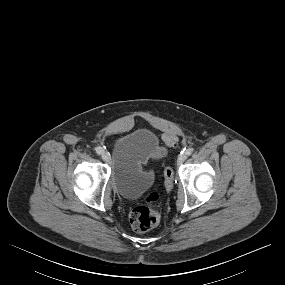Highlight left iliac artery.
I'll return each instance as SVG.
<instances>
[{
    "label": "left iliac artery",
    "instance_id": "1",
    "mask_svg": "<svg viewBox=\"0 0 285 285\" xmlns=\"http://www.w3.org/2000/svg\"><path fill=\"white\" fill-rule=\"evenodd\" d=\"M184 152V154H186V155H191L192 154V152H193V149L192 148H185L181 153H183Z\"/></svg>",
    "mask_w": 285,
    "mask_h": 285
}]
</instances>
